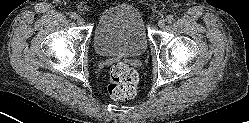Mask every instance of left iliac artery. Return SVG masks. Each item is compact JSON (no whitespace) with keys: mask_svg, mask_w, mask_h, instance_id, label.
<instances>
[{"mask_svg":"<svg viewBox=\"0 0 249 123\" xmlns=\"http://www.w3.org/2000/svg\"><path fill=\"white\" fill-rule=\"evenodd\" d=\"M166 21H167L168 23H172V22H173V16H172V15H167V16H166Z\"/></svg>","mask_w":249,"mask_h":123,"instance_id":"1","label":"left iliac artery"}]
</instances>
